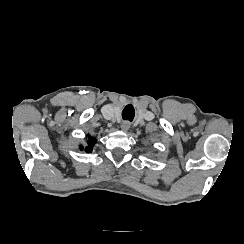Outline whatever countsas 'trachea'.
<instances>
[{"label": "trachea", "instance_id": "1", "mask_svg": "<svg viewBox=\"0 0 244 244\" xmlns=\"http://www.w3.org/2000/svg\"><path fill=\"white\" fill-rule=\"evenodd\" d=\"M134 108L131 105H127L122 111V118L124 120L132 121L134 118Z\"/></svg>", "mask_w": 244, "mask_h": 244}]
</instances>
